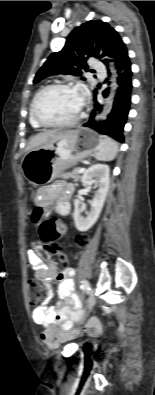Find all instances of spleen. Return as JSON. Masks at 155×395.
<instances>
[{
  "label": "spleen",
  "mask_w": 155,
  "mask_h": 395,
  "mask_svg": "<svg viewBox=\"0 0 155 395\" xmlns=\"http://www.w3.org/2000/svg\"><path fill=\"white\" fill-rule=\"evenodd\" d=\"M118 152L117 143L108 136H100L99 145L95 152V158L98 161H111Z\"/></svg>",
  "instance_id": "1"
}]
</instances>
